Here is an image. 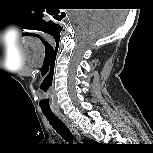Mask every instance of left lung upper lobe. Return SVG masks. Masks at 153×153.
Returning a JSON list of instances; mask_svg holds the SVG:
<instances>
[{
  "label": "left lung upper lobe",
  "mask_w": 153,
  "mask_h": 153,
  "mask_svg": "<svg viewBox=\"0 0 153 153\" xmlns=\"http://www.w3.org/2000/svg\"><path fill=\"white\" fill-rule=\"evenodd\" d=\"M85 144H88V145H95L97 144L95 141L91 140V141H85Z\"/></svg>",
  "instance_id": "left-lung-upper-lobe-1"
}]
</instances>
